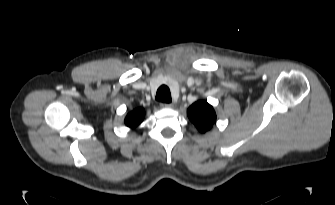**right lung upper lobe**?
Listing matches in <instances>:
<instances>
[{
  "label": "right lung upper lobe",
  "mask_w": 335,
  "mask_h": 205,
  "mask_svg": "<svg viewBox=\"0 0 335 205\" xmlns=\"http://www.w3.org/2000/svg\"><path fill=\"white\" fill-rule=\"evenodd\" d=\"M145 116V111L142 108H137L132 112L128 113L125 118V124L128 127L134 128L138 126Z\"/></svg>",
  "instance_id": "obj_1"
}]
</instances>
